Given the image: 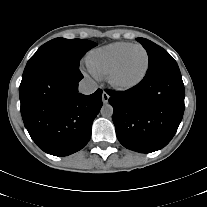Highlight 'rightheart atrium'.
I'll list each match as a JSON object with an SVG mask.
<instances>
[{"label": "right heart atrium", "instance_id": "obj_1", "mask_svg": "<svg viewBox=\"0 0 207 207\" xmlns=\"http://www.w3.org/2000/svg\"><path fill=\"white\" fill-rule=\"evenodd\" d=\"M88 70H89V72L93 75V76H95L94 74H93V72L91 71V69L89 68V66H88ZM96 77V76H95Z\"/></svg>", "mask_w": 207, "mask_h": 207}]
</instances>
